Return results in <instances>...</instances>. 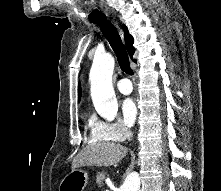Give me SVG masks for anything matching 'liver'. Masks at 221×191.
<instances>
[{
    "label": "liver",
    "instance_id": "1",
    "mask_svg": "<svg viewBox=\"0 0 221 191\" xmlns=\"http://www.w3.org/2000/svg\"><path fill=\"white\" fill-rule=\"evenodd\" d=\"M127 148L115 143L98 142L83 148L72 163V170L82 166H112L122 160Z\"/></svg>",
    "mask_w": 221,
    "mask_h": 191
}]
</instances>
